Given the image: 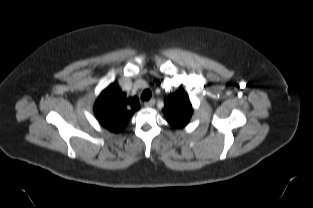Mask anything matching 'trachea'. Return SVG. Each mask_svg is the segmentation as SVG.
<instances>
[{
	"mask_svg": "<svg viewBox=\"0 0 313 208\" xmlns=\"http://www.w3.org/2000/svg\"><path fill=\"white\" fill-rule=\"evenodd\" d=\"M151 95H152V94H151V91L148 90V89H146V90H144V91L142 92L141 98H142V100H144V101H148V100H150Z\"/></svg>",
	"mask_w": 313,
	"mask_h": 208,
	"instance_id": "obj_1",
	"label": "trachea"
}]
</instances>
